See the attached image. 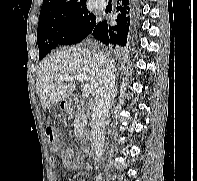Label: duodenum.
Here are the masks:
<instances>
[{
  "instance_id": "410a0bca",
  "label": "duodenum",
  "mask_w": 197,
  "mask_h": 181,
  "mask_svg": "<svg viewBox=\"0 0 197 181\" xmlns=\"http://www.w3.org/2000/svg\"><path fill=\"white\" fill-rule=\"evenodd\" d=\"M65 107H66L67 111L74 112V111H76L80 108V105L73 100H69V101L66 102ZM87 155L88 156L93 155V149L92 148H90V147L87 148Z\"/></svg>"
}]
</instances>
